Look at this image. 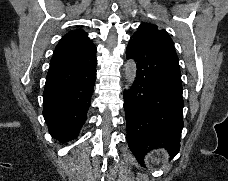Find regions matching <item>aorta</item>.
Instances as JSON below:
<instances>
[{"mask_svg":"<svg viewBox=\"0 0 228 181\" xmlns=\"http://www.w3.org/2000/svg\"><path fill=\"white\" fill-rule=\"evenodd\" d=\"M127 87H131L136 79L137 65L134 59L128 60L124 65Z\"/></svg>","mask_w":228,"mask_h":181,"instance_id":"762f6f07","label":"aorta"}]
</instances>
